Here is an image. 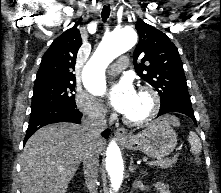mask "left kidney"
<instances>
[{
    "mask_svg": "<svg viewBox=\"0 0 221 193\" xmlns=\"http://www.w3.org/2000/svg\"><path fill=\"white\" fill-rule=\"evenodd\" d=\"M155 187H156L157 190H159L160 193H171L169 191V186L162 183V182H157L155 184Z\"/></svg>",
    "mask_w": 221,
    "mask_h": 193,
    "instance_id": "obj_1",
    "label": "left kidney"
}]
</instances>
